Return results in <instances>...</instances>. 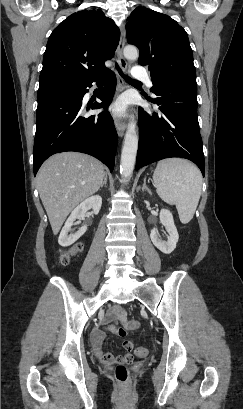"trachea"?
Listing matches in <instances>:
<instances>
[{
	"mask_svg": "<svg viewBox=\"0 0 243 409\" xmlns=\"http://www.w3.org/2000/svg\"><path fill=\"white\" fill-rule=\"evenodd\" d=\"M116 67H117V69H118V71H119V74L121 75V77H122L123 79H125L126 81H136V80H134V79L128 77L127 75H125V74L121 71V69H120L118 66H116Z\"/></svg>",
	"mask_w": 243,
	"mask_h": 409,
	"instance_id": "obj_1",
	"label": "trachea"
}]
</instances>
